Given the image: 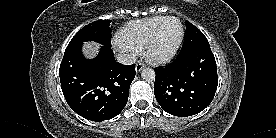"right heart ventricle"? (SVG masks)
I'll return each instance as SVG.
<instances>
[{
  "label": "right heart ventricle",
  "mask_w": 276,
  "mask_h": 138,
  "mask_svg": "<svg viewBox=\"0 0 276 138\" xmlns=\"http://www.w3.org/2000/svg\"><path fill=\"white\" fill-rule=\"evenodd\" d=\"M166 16L136 20L125 25L118 34V42L139 51L145 48L153 30Z\"/></svg>",
  "instance_id": "obj_1"
}]
</instances>
